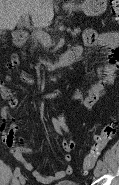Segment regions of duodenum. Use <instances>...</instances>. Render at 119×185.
I'll return each instance as SVG.
<instances>
[{
  "mask_svg": "<svg viewBox=\"0 0 119 185\" xmlns=\"http://www.w3.org/2000/svg\"><path fill=\"white\" fill-rule=\"evenodd\" d=\"M14 40L17 45H24L27 40V33L25 31H16L14 33ZM81 54L82 49L74 47L59 57L52 65H50L49 69L53 71L69 66L77 62L80 59Z\"/></svg>",
  "mask_w": 119,
  "mask_h": 185,
  "instance_id": "1",
  "label": "duodenum"
}]
</instances>
